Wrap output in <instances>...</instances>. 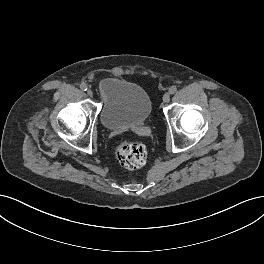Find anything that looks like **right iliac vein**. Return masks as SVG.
<instances>
[{
    "label": "right iliac vein",
    "instance_id": "obj_1",
    "mask_svg": "<svg viewBox=\"0 0 264 264\" xmlns=\"http://www.w3.org/2000/svg\"><path fill=\"white\" fill-rule=\"evenodd\" d=\"M87 94H88L89 96H92V95H93V91H92L91 89H88V90H87Z\"/></svg>",
    "mask_w": 264,
    "mask_h": 264
}]
</instances>
